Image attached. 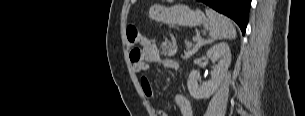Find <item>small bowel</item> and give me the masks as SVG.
I'll use <instances>...</instances> for the list:
<instances>
[{"instance_id":"small-bowel-1","label":"small bowel","mask_w":305,"mask_h":116,"mask_svg":"<svg viewBox=\"0 0 305 116\" xmlns=\"http://www.w3.org/2000/svg\"><path fill=\"white\" fill-rule=\"evenodd\" d=\"M130 59L133 64V69L137 73L146 72L150 65H158L164 68L172 69H177L179 67L178 63L174 60L163 59L160 56L155 43L151 39H149L147 43L143 44V48L141 50L138 49V55L136 57L130 54ZM141 86L146 97L155 101L158 100L152 85L146 77H142ZM174 102L180 112V116H193V109L187 97L177 94L174 97ZM158 115L170 116L167 111L162 109L158 111Z\"/></svg>"}]
</instances>
